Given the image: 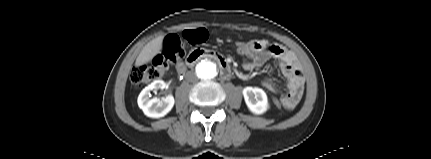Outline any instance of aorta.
<instances>
[{"mask_svg":"<svg viewBox=\"0 0 431 159\" xmlns=\"http://www.w3.org/2000/svg\"><path fill=\"white\" fill-rule=\"evenodd\" d=\"M196 74L203 81L214 79L217 74V66L210 60H203L196 66Z\"/></svg>","mask_w":431,"mask_h":159,"instance_id":"obj_1","label":"aorta"}]
</instances>
